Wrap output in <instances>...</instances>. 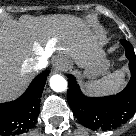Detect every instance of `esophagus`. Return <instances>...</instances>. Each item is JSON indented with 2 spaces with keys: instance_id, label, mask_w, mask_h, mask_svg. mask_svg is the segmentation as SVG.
Returning a JSON list of instances; mask_svg holds the SVG:
<instances>
[{
  "instance_id": "1",
  "label": "esophagus",
  "mask_w": 136,
  "mask_h": 136,
  "mask_svg": "<svg viewBox=\"0 0 136 136\" xmlns=\"http://www.w3.org/2000/svg\"><path fill=\"white\" fill-rule=\"evenodd\" d=\"M64 63L60 60V59H57L55 64H54V69L55 71H60L64 68Z\"/></svg>"
}]
</instances>
